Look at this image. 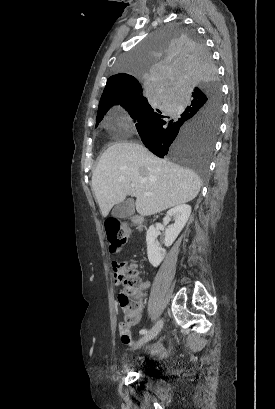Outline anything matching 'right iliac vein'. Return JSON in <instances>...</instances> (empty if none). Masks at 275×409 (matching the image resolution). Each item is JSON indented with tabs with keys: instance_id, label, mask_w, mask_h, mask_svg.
I'll list each match as a JSON object with an SVG mask.
<instances>
[{
	"instance_id": "63e3f726",
	"label": "right iliac vein",
	"mask_w": 275,
	"mask_h": 409,
	"mask_svg": "<svg viewBox=\"0 0 275 409\" xmlns=\"http://www.w3.org/2000/svg\"><path fill=\"white\" fill-rule=\"evenodd\" d=\"M163 327V321L159 320L153 327L152 329L145 333L138 342V346L143 344V343H147L148 341L152 340L153 338H155L161 331Z\"/></svg>"
}]
</instances>
